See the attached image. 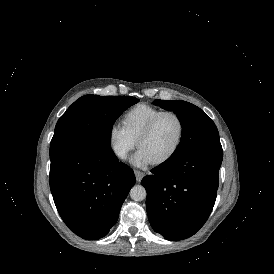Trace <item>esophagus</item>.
Returning a JSON list of instances; mask_svg holds the SVG:
<instances>
[{
    "label": "esophagus",
    "mask_w": 274,
    "mask_h": 274,
    "mask_svg": "<svg viewBox=\"0 0 274 274\" xmlns=\"http://www.w3.org/2000/svg\"><path fill=\"white\" fill-rule=\"evenodd\" d=\"M134 173H135L136 180L138 182H140L142 178L145 176V173L139 170H135Z\"/></svg>",
    "instance_id": "34e87169"
}]
</instances>
